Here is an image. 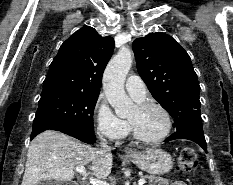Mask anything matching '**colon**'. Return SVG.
<instances>
[{"label":"colon","instance_id":"colon-1","mask_svg":"<svg viewBox=\"0 0 233 185\" xmlns=\"http://www.w3.org/2000/svg\"><path fill=\"white\" fill-rule=\"evenodd\" d=\"M197 166V155L194 149L190 147H184L181 149L177 169L180 173L189 174L191 173Z\"/></svg>","mask_w":233,"mask_h":185}]
</instances>
